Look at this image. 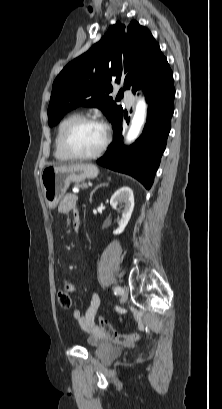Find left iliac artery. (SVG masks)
I'll use <instances>...</instances> for the list:
<instances>
[{
  "label": "left iliac artery",
  "instance_id": "44dca946",
  "mask_svg": "<svg viewBox=\"0 0 222 409\" xmlns=\"http://www.w3.org/2000/svg\"><path fill=\"white\" fill-rule=\"evenodd\" d=\"M121 291H122V290H121V287H115V288H114V293H115V294H121Z\"/></svg>",
  "mask_w": 222,
  "mask_h": 409
}]
</instances>
